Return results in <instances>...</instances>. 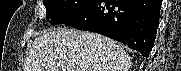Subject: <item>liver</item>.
I'll return each instance as SVG.
<instances>
[{"instance_id":"obj_1","label":"liver","mask_w":181,"mask_h":71,"mask_svg":"<svg viewBox=\"0 0 181 71\" xmlns=\"http://www.w3.org/2000/svg\"><path fill=\"white\" fill-rule=\"evenodd\" d=\"M131 58L121 44L100 34L58 28L33 42L25 71H128Z\"/></svg>"}]
</instances>
